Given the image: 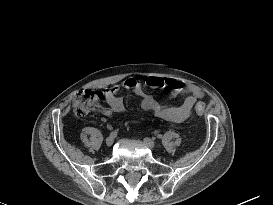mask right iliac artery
<instances>
[{
  "label": "right iliac artery",
  "mask_w": 273,
  "mask_h": 205,
  "mask_svg": "<svg viewBox=\"0 0 273 205\" xmlns=\"http://www.w3.org/2000/svg\"><path fill=\"white\" fill-rule=\"evenodd\" d=\"M110 136L116 137L117 136V131H113L110 133Z\"/></svg>",
  "instance_id": "obj_1"
}]
</instances>
